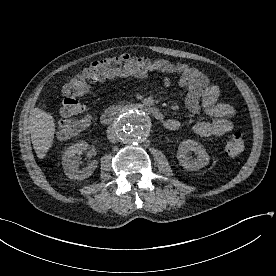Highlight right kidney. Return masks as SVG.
I'll return each mask as SVG.
<instances>
[{
    "label": "right kidney",
    "instance_id": "1",
    "mask_svg": "<svg viewBox=\"0 0 276 276\" xmlns=\"http://www.w3.org/2000/svg\"><path fill=\"white\" fill-rule=\"evenodd\" d=\"M88 148L87 142H78L68 147L62 156V166L65 175L73 180H83L92 175L97 167L98 162L96 160L89 163L88 166L80 169V161L78 155Z\"/></svg>",
    "mask_w": 276,
    "mask_h": 276
}]
</instances>
